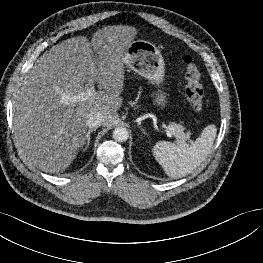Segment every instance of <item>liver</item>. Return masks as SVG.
Returning a JSON list of instances; mask_svg holds the SVG:
<instances>
[{"mask_svg": "<svg viewBox=\"0 0 263 263\" xmlns=\"http://www.w3.org/2000/svg\"><path fill=\"white\" fill-rule=\"evenodd\" d=\"M136 35L131 26H107L91 43L77 36L41 55L13 102L15 143L29 162L47 173L65 171L84 145L87 115L101 112L106 126L114 121L122 105L125 51ZM95 83L100 91L93 96L64 103L63 95L85 92Z\"/></svg>", "mask_w": 263, "mask_h": 263, "instance_id": "1", "label": "liver"}]
</instances>
